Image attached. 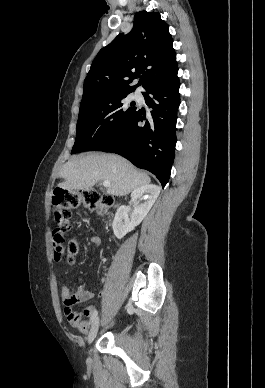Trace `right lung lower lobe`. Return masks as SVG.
<instances>
[{
  "instance_id": "right-lung-lower-lobe-1",
  "label": "right lung lower lobe",
  "mask_w": 265,
  "mask_h": 388,
  "mask_svg": "<svg viewBox=\"0 0 265 388\" xmlns=\"http://www.w3.org/2000/svg\"><path fill=\"white\" fill-rule=\"evenodd\" d=\"M179 87L177 73L146 87L143 95L151 113L136 109L101 149L122 155L138 168L152 172L163 187L169 180L175 156Z\"/></svg>"
}]
</instances>
